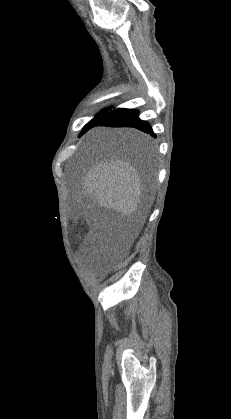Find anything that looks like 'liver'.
I'll return each instance as SVG.
<instances>
[{
  "label": "liver",
  "instance_id": "1",
  "mask_svg": "<svg viewBox=\"0 0 231 419\" xmlns=\"http://www.w3.org/2000/svg\"><path fill=\"white\" fill-rule=\"evenodd\" d=\"M111 134L124 140L149 141L134 129H118ZM82 187L101 206L131 215L136 212L142 196L138 170L126 159L113 157L100 161L85 177Z\"/></svg>",
  "mask_w": 231,
  "mask_h": 419
}]
</instances>
